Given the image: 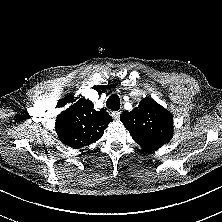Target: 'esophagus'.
Instances as JSON below:
<instances>
[{"label":"esophagus","instance_id":"1","mask_svg":"<svg viewBox=\"0 0 222 222\" xmlns=\"http://www.w3.org/2000/svg\"><path fill=\"white\" fill-rule=\"evenodd\" d=\"M120 115H121L120 111L112 112V117H113L114 120H119L120 119Z\"/></svg>","mask_w":222,"mask_h":222}]
</instances>
